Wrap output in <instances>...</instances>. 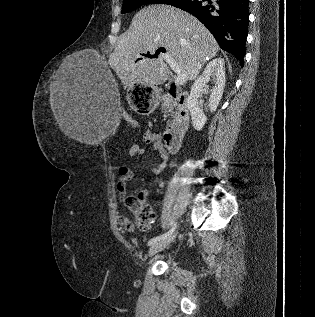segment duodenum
I'll return each instance as SVG.
<instances>
[{"instance_id": "1", "label": "duodenum", "mask_w": 315, "mask_h": 317, "mask_svg": "<svg viewBox=\"0 0 315 317\" xmlns=\"http://www.w3.org/2000/svg\"><path fill=\"white\" fill-rule=\"evenodd\" d=\"M166 104L174 109V117L164 132L163 139L167 150L175 153L179 150L189 127L187 96L179 90L176 82L170 85Z\"/></svg>"}]
</instances>
